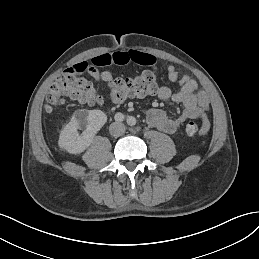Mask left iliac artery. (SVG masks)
<instances>
[{"mask_svg":"<svg viewBox=\"0 0 259 259\" xmlns=\"http://www.w3.org/2000/svg\"><path fill=\"white\" fill-rule=\"evenodd\" d=\"M127 124L130 126H134L136 124V118L133 116L127 117Z\"/></svg>","mask_w":259,"mask_h":259,"instance_id":"left-iliac-artery-1","label":"left iliac artery"}]
</instances>
